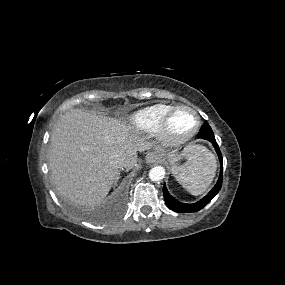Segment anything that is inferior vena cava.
Returning <instances> with one entry per match:
<instances>
[{
  "label": "inferior vena cava",
  "mask_w": 285,
  "mask_h": 285,
  "mask_svg": "<svg viewBox=\"0 0 285 285\" xmlns=\"http://www.w3.org/2000/svg\"><path fill=\"white\" fill-rule=\"evenodd\" d=\"M113 162L118 168L124 167L125 165V160L121 156H115Z\"/></svg>",
  "instance_id": "obj_1"
}]
</instances>
